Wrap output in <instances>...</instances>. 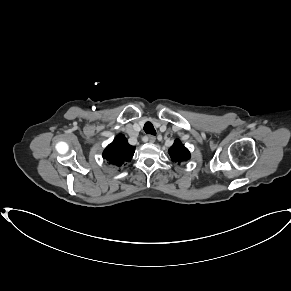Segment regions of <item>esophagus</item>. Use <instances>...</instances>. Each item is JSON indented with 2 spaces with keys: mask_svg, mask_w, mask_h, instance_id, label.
<instances>
[{
  "mask_svg": "<svg viewBox=\"0 0 291 291\" xmlns=\"http://www.w3.org/2000/svg\"><path fill=\"white\" fill-rule=\"evenodd\" d=\"M147 140H148V142H150V143H154L155 140H156V138H155V136H153V135H149L148 138H147Z\"/></svg>",
  "mask_w": 291,
  "mask_h": 291,
  "instance_id": "obj_1",
  "label": "esophagus"
}]
</instances>
